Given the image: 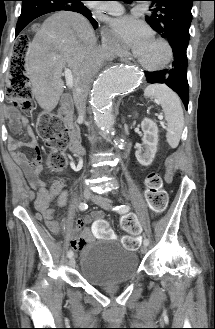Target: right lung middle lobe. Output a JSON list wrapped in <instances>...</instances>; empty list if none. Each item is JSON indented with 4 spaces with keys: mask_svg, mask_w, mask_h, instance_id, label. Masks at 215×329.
<instances>
[{
    "mask_svg": "<svg viewBox=\"0 0 215 329\" xmlns=\"http://www.w3.org/2000/svg\"><path fill=\"white\" fill-rule=\"evenodd\" d=\"M74 1H80V0H74ZM83 0H81V2H82Z\"/></svg>",
    "mask_w": 215,
    "mask_h": 329,
    "instance_id": "dd1d6c3e",
    "label": "right lung middle lobe"
}]
</instances>
